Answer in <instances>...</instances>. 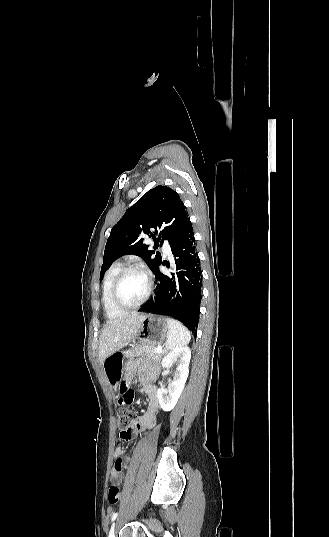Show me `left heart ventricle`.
<instances>
[{"instance_id":"b2bd125f","label":"left heart ventricle","mask_w":329,"mask_h":537,"mask_svg":"<svg viewBox=\"0 0 329 537\" xmlns=\"http://www.w3.org/2000/svg\"><path fill=\"white\" fill-rule=\"evenodd\" d=\"M147 289V279L139 271L127 273L120 284L119 297L122 302L128 305L137 303L145 294Z\"/></svg>"}]
</instances>
